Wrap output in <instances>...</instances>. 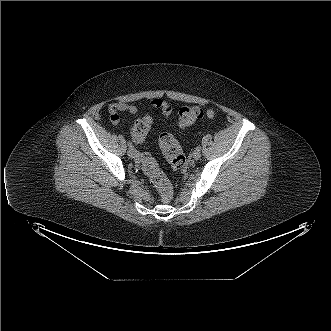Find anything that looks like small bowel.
I'll return each instance as SVG.
<instances>
[{
  "label": "small bowel",
  "mask_w": 331,
  "mask_h": 331,
  "mask_svg": "<svg viewBox=\"0 0 331 331\" xmlns=\"http://www.w3.org/2000/svg\"><path fill=\"white\" fill-rule=\"evenodd\" d=\"M149 105L152 108L160 110L166 117H170L173 114V106L161 98L151 99ZM124 112L133 115L137 113V108L125 102H113L108 106L110 121L113 125L119 124L120 116Z\"/></svg>",
  "instance_id": "c3829d8e"
}]
</instances>
